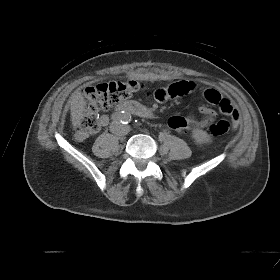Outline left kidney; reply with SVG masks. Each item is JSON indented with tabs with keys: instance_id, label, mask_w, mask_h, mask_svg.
I'll return each instance as SVG.
<instances>
[{
	"instance_id": "1",
	"label": "left kidney",
	"mask_w": 280,
	"mask_h": 280,
	"mask_svg": "<svg viewBox=\"0 0 280 280\" xmlns=\"http://www.w3.org/2000/svg\"><path fill=\"white\" fill-rule=\"evenodd\" d=\"M192 137L197 144L208 143L211 137L203 130L195 129L192 131Z\"/></svg>"
}]
</instances>
